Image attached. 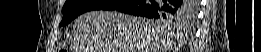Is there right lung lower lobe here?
I'll return each instance as SVG.
<instances>
[{"instance_id":"right-lung-lower-lobe-1","label":"right lung lower lobe","mask_w":261,"mask_h":52,"mask_svg":"<svg viewBox=\"0 0 261 52\" xmlns=\"http://www.w3.org/2000/svg\"><path fill=\"white\" fill-rule=\"evenodd\" d=\"M103 10H117L120 12L158 18L162 16L175 17L186 15V1L182 0H127L115 1L113 4L102 8Z\"/></svg>"}]
</instances>
